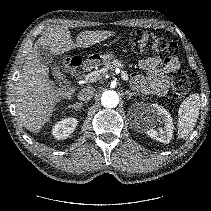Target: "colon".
Instances as JSON below:
<instances>
[{"label":"colon","mask_w":211,"mask_h":211,"mask_svg":"<svg viewBox=\"0 0 211 211\" xmlns=\"http://www.w3.org/2000/svg\"><path fill=\"white\" fill-rule=\"evenodd\" d=\"M131 41L133 49L136 52L175 55L178 51V46L174 41H169L149 30H137L133 32ZM66 64L73 73L74 70L79 69L81 60L78 57H73L67 60ZM190 89L191 81L189 77L182 70H175L172 75L173 97L181 99L186 96Z\"/></svg>","instance_id":"5ec220e1"}]
</instances>
